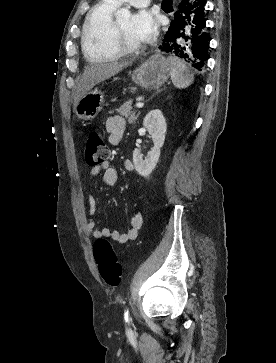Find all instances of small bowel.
Segmentation results:
<instances>
[{
  "label": "small bowel",
  "instance_id": "c3829d8e",
  "mask_svg": "<svg viewBox=\"0 0 276 363\" xmlns=\"http://www.w3.org/2000/svg\"><path fill=\"white\" fill-rule=\"evenodd\" d=\"M105 127L108 132V140L112 145H116L121 140L125 130L126 121L123 117L115 115L107 118ZM124 168L127 171H133L134 165L131 161L124 162ZM102 172V180L108 186H115L118 183V172L111 167L108 162L99 166H94L90 170L91 177H95ZM89 205L88 217L86 219V232L93 238H109L119 244H125L129 241L137 239L139 231L143 225V214L138 206L129 220V227L126 232L121 233L115 229L102 228L98 229L95 225L96 200L92 195L87 196Z\"/></svg>",
  "mask_w": 276,
  "mask_h": 363
}]
</instances>
